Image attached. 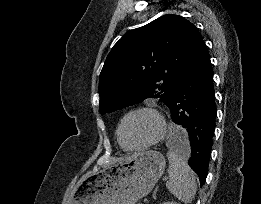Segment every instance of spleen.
Masks as SVG:
<instances>
[{"label":"spleen","mask_w":261,"mask_h":204,"mask_svg":"<svg viewBox=\"0 0 261 204\" xmlns=\"http://www.w3.org/2000/svg\"><path fill=\"white\" fill-rule=\"evenodd\" d=\"M171 130L177 131V127L172 126ZM167 157L169 160V180L166 182V187L176 198L185 204H189L196 194L195 175L185 159L177 151L170 150Z\"/></svg>","instance_id":"obj_1"}]
</instances>
